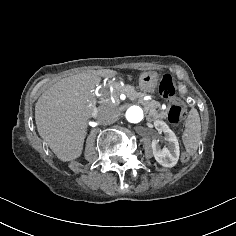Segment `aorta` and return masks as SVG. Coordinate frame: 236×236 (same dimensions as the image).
Segmentation results:
<instances>
[{
  "label": "aorta",
  "mask_w": 236,
  "mask_h": 236,
  "mask_svg": "<svg viewBox=\"0 0 236 236\" xmlns=\"http://www.w3.org/2000/svg\"><path fill=\"white\" fill-rule=\"evenodd\" d=\"M124 116L128 122L137 124L145 118V113L141 107L133 105L126 110Z\"/></svg>",
  "instance_id": "obj_1"
}]
</instances>
